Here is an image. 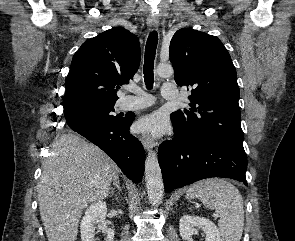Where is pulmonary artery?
Listing matches in <instances>:
<instances>
[{
  "label": "pulmonary artery",
  "instance_id": "1",
  "mask_svg": "<svg viewBox=\"0 0 295 241\" xmlns=\"http://www.w3.org/2000/svg\"><path fill=\"white\" fill-rule=\"evenodd\" d=\"M136 96H126L123 99L122 107L126 110H137L150 106L154 102V97L140 89L132 90ZM161 94L164 99L176 100L178 91L173 83L162 85Z\"/></svg>",
  "mask_w": 295,
  "mask_h": 241
}]
</instances>
